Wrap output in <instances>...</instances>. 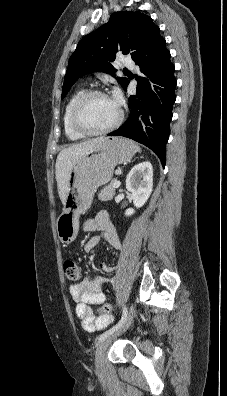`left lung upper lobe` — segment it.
<instances>
[{"instance_id": "obj_1", "label": "left lung upper lobe", "mask_w": 227, "mask_h": 396, "mask_svg": "<svg viewBox=\"0 0 227 396\" xmlns=\"http://www.w3.org/2000/svg\"><path fill=\"white\" fill-rule=\"evenodd\" d=\"M161 38L160 29L152 18L139 12H115L109 21L96 31L86 35L78 43L70 57L64 79L61 99L81 76L91 72L113 74L111 62L117 52L131 54L134 60ZM125 87L127 78H117Z\"/></svg>"}]
</instances>
